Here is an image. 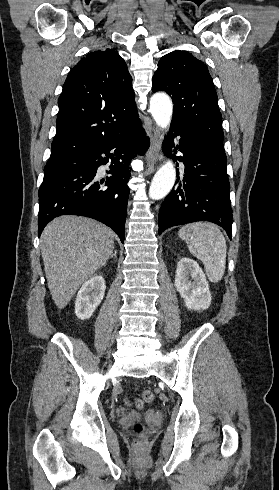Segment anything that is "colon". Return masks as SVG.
Wrapping results in <instances>:
<instances>
[{"label": "colon", "mask_w": 279, "mask_h": 490, "mask_svg": "<svg viewBox=\"0 0 279 490\" xmlns=\"http://www.w3.org/2000/svg\"><path fill=\"white\" fill-rule=\"evenodd\" d=\"M154 400V393L151 389H145L140 398L137 400V407H140L144 403H150ZM124 403L128 404V399H124ZM133 430L136 433H141L143 431V426L141 424H135Z\"/></svg>", "instance_id": "1"}]
</instances>
